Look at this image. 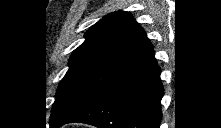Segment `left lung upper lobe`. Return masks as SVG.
<instances>
[{
  "instance_id": "1",
  "label": "left lung upper lobe",
  "mask_w": 221,
  "mask_h": 128,
  "mask_svg": "<svg viewBox=\"0 0 221 128\" xmlns=\"http://www.w3.org/2000/svg\"><path fill=\"white\" fill-rule=\"evenodd\" d=\"M85 38L57 89L50 127H60L99 99L153 50L141 26L123 11L105 16Z\"/></svg>"
}]
</instances>
